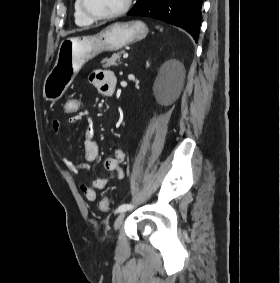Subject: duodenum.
<instances>
[{"label": "duodenum", "mask_w": 280, "mask_h": 283, "mask_svg": "<svg viewBox=\"0 0 280 283\" xmlns=\"http://www.w3.org/2000/svg\"><path fill=\"white\" fill-rule=\"evenodd\" d=\"M113 93V88L110 90L109 95H111Z\"/></svg>", "instance_id": "duodenum-1"}]
</instances>
